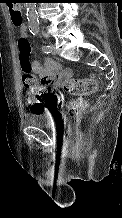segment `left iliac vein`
<instances>
[{"instance_id":"left-iliac-vein-1","label":"left iliac vein","mask_w":122,"mask_h":218,"mask_svg":"<svg viewBox=\"0 0 122 218\" xmlns=\"http://www.w3.org/2000/svg\"><path fill=\"white\" fill-rule=\"evenodd\" d=\"M50 51L52 54H56L55 47L53 44H50Z\"/></svg>"}]
</instances>
